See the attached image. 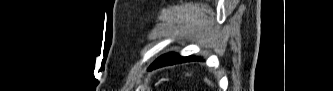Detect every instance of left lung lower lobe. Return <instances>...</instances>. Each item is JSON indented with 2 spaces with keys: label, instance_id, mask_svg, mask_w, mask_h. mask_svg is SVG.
I'll return each mask as SVG.
<instances>
[{
  "label": "left lung lower lobe",
  "instance_id": "left-lung-lower-lobe-1",
  "mask_svg": "<svg viewBox=\"0 0 333 91\" xmlns=\"http://www.w3.org/2000/svg\"><path fill=\"white\" fill-rule=\"evenodd\" d=\"M196 60L200 61L201 58L194 57V56L181 57L178 54L169 53V54L163 55L162 57L158 58L149 69H154V68H158L161 66L172 65V64H176V63L196 61Z\"/></svg>",
  "mask_w": 333,
  "mask_h": 91
}]
</instances>
